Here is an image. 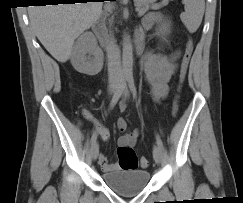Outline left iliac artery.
Returning a JSON list of instances; mask_svg holds the SVG:
<instances>
[{
	"mask_svg": "<svg viewBox=\"0 0 243 203\" xmlns=\"http://www.w3.org/2000/svg\"><path fill=\"white\" fill-rule=\"evenodd\" d=\"M128 82H129L130 90H131V92L133 93V96H134L135 98H137L136 88H135V86H134L133 77H132L131 75L128 77ZM156 142H157V145H158L161 149H163V143H162V140H161V138H160V136H159L158 134H156Z\"/></svg>",
	"mask_w": 243,
	"mask_h": 203,
	"instance_id": "left-iliac-artery-1",
	"label": "left iliac artery"
}]
</instances>
